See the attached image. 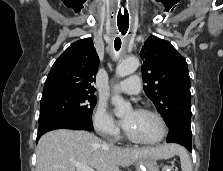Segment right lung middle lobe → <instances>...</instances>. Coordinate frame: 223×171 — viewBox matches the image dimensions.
<instances>
[{"label":"right lung middle lobe","instance_id":"1","mask_svg":"<svg viewBox=\"0 0 223 171\" xmlns=\"http://www.w3.org/2000/svg\"><path fill=\"white\" fill-rule=\"evenodd\" d=\"M97 103L92 93L68 92L41 99L39 122L59 115H72L92 123V111Z\"/></svg>","mask_w":223,"mask_h":171}]
</instances>
